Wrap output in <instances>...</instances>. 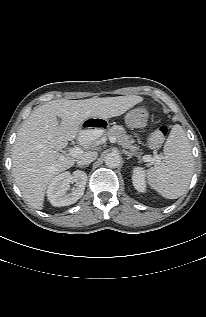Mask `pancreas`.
<instances>
[{
	"label": "pancreas",
	"mask_w": 206,
	"mask_h": 317,
	"mask_svg": "<svg viewBox=\"0 0 206 317\" xmlns=\"http://www.w3.org/2000/svg\"><path fill=\"white\" fill-rule=\"evenodd\" d=\"M107 136H114L116 138V142L119 145H121L125 149H129L133 154H142L141 152H139V148L133 144L134 140L131 139L129 135L125 134V130L122 127L116 126V129L113 130L112 133Z\"/></svg>",
	"instance_id": "cf45deb5"
}]
</instances>
